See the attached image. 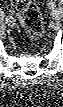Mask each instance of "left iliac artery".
Returning a JSON list of instances; mask_svg holds the SVG:
<instances>
[{
  "label": "left iliac artery",
  "instance_id": "1",
  "mask_svg": "<svg viewBox=\"0 0 63 107\" xmlns=\"http://www.w3.org/2000/svg\"><path fill=\"white\" fill-rule=\"evenodd\" d=\"M49 5H50V8L54 9L55 4L52 1H51V3H49Z\"/></svg>",
  "mask_w": 63,
  "mask_h": 107
}]
</instances>
